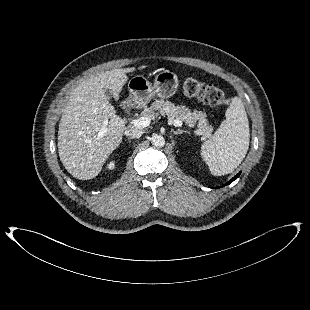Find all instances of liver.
Instances as JSON below:
<instances>
[{
    "instance_id": "obj_1",
    "label": "liver",
    "mask_w": 310,
    "mask_h": 310,
    "mask_svg": "<svg viewBox=\"0 0 310 310\" xmlns=\"http://www.w3.org/2000/svg\"><path fill=\"white\" fill-rule=\"evenodd\" d=\"M142 69V68H140ZM135 68L112 69L81 82L71 93L58 130V153L65 169L75 178H95L122 141L125 121L116 115L104 93L113 91L119 97ZM106 128L103 137L97 135Z\"/></svg>"
}]
</instances>
